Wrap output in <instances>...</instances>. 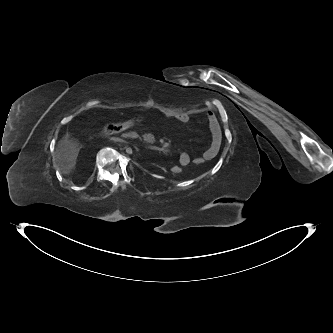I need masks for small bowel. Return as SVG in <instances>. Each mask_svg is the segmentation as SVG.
Masks as SVG:
<instances>
[{"mask_svg":"<svg viewBox=\"0 0 333 333\" xmlns=\"http://www.w3.org/2000/svg\"><path fill=\"white\" fill-rule=\"evenodd\" d=\"M173 118L180 123H186L190 119V115L187 112L177 113L173 115ZM207 119L210 131L212 133V141L207 150L199 157L193 159L194 164L200 165L206 161L213 159L219 152L221 146V131L215 113L211 110L207 112ZM191 162V158L188 153L181 152L179 156V164L186 167Z\"/></svg>","mask_w":333,"mask_h":333,"instance_id":"c3829d8e","label":"small bowel"}]
</instances>
